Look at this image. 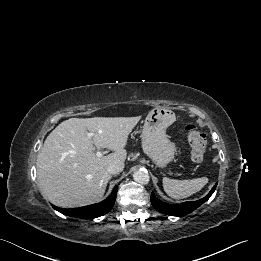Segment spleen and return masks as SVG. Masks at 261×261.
Masks as SVG:
<instances>
[{"mask_svg": "<svg viewBox=\"0 0 261 261\" xmlns=\"http://www.w3.org/2000/svg\"><path fill=\"white\" fill-rule=\"evenodd\" d=\"M208 183L207 177L191 180H176L163 178L164 191L174 199L187 198L199 192Z\"/></svg>", "mask_w": 261, "mask_h": 261, "instance_id": "obj_1", "label": "spleen"}]
</instances>
